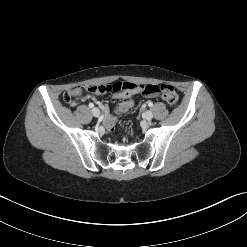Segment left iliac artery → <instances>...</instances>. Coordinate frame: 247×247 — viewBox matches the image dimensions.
Returning a JSON list of instances; mask_svg holds the SVG:
<instances>
[{"label":"left iliac artery","instance_id":"obj_1","mask_svg":"<svg viewBox=\"0 0 247 247\" xmlns=\"http://www.w3.org/2000/svg\"><path fill=\"white\" fill-rule=\"evenodd\" d=\"M148 106L149 107H152L153 106V103L149 101Z\"/></svg>","mask_w":247,"mask_h":247}]
</instances>
